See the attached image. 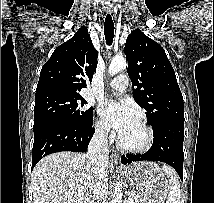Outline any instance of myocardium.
<instances>
[{"label":"myocardium","mask_w":214,"mask_h":203,"mask_svg":"<svg viewBox=\"0 0 214 203\" xmlns=\"http://www.w3.org/2000/svg\"><path fill=\"white\" fill-rule=\"evenodd\" d=\"M145 132V140L139 145H128L124 143L121 135L118 137L117 145L119 149L129 153H143L148 151L154 142V133L152 128L143 120L138 121Z\"/></svg>","instance_id":"obj_1"}]
</instances>
